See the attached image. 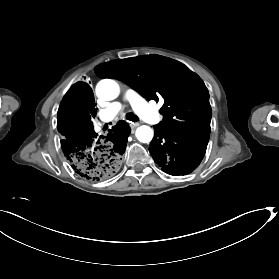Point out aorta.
Segmentation results:
<instances>
[{"label":"aorta","instance_id":"obj_1","mask_svg":"<svg viewBox=\"0 0 279 279\" xmlns=\"http://www.w3.org/2000/svg\"><path fill=\"white\" fill-rule=\"evenodd\" d=\"M119 93V85L112 79H103L96 86V95L102 100H114ZM153 135V130L147 125H142L136 129V137L142 143H149Z\"/></svg>","mask_w":279,"mask_h":279}]
</instances>
